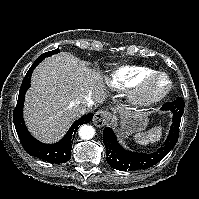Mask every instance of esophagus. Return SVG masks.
<instances>
[{"instance_id": "obj_1", "label": "esophagus", "mask_w": 199, "mask_h": 199, "mask_svg": "<svg viewBox=\"0 0 199 199\" xmlns=\"http://www.w3.org/2000/svg\"><path fill=\"white\" fill-rule=\"evenodd\" d=\"M111 119V114L108 111L100 110L93 117V123L96 127H103L108 124Z\"/></svg>"}]
</instances>
